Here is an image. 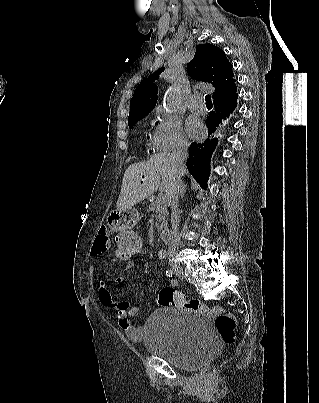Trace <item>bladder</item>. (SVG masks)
I'll return each mask as SVG.
<instances>
[{"mask_svg": "<svg viewBox=\"0 0 319 403\" xmlns=\"http://www.w3.org/2000/svg\"><path fill=\"white\" fill-rule=\"evenodd\" d=\"M144 332V344L149 353L182 369L203 366L220 348L209 319L187 309L153 311Z\"/></svg>", "mask_w": 319, "mask_h": 403, "instance_id": "31cf9c89", "label": "bladder"}]
</instances>
